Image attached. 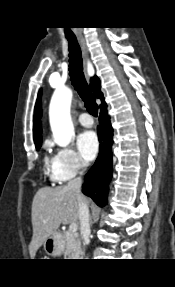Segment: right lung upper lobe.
<instances>
[{"instance_id":"cb5924a9","label":"right lung upper lobe","mask_w":175,"mask_h":287,"mask_svg":"<svg viewBox=\"0 0 175 287\" xmlns=\"http://www.w3.org/2000/svg\"><path fill=\"white\" fill-rule=\"evenodd\" d=\"M90 86L93 89L94 95L101 100L100 108L106 105L103 94L101 92L100 80L97 76L91 78ZM40 118H41V91L38 94V98L34 109L33 137L35 143L42 142L41 138L42 130H41Z\"/></svg>"}]
</instances>
